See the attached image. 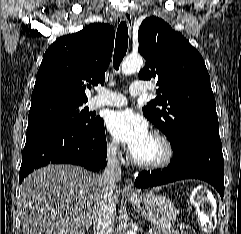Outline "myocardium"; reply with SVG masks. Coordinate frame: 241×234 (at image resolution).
Returning a JSON list of instances; mask_svg holds the SVG:
<instances>
[{"label":"myocardium","instance_id":"obj_1","mask_svg":"<svg viewBox=\"0 0 241 234\" xmlns=\"http://www.w3.org/2000/svg\"><path fill=\"white\" fill-rule=\"evenodd\" d=\"M150 135L157 138L162 144V147H163L162 157L157 161L144 162L136 159L133 156V154H131L130 160L136 167H139L141 169L156 170V169L164 168L171 163L174 157L173 145L170 139L168 138V136L160 130H154L150 133Z\"/></svg>","mask_w":241,"mask_h":234}]
</instances>
